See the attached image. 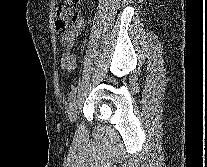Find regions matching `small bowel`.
<instances>
[{
	"instance_id": "c3829d8e",
	"label": "small bowel",
	"mask_w": 207,
	"mask_h": 167,
	"mask_svg": "<svg viewBox=\"0 0 207 167\" xmlns=\"http://www.w3.org/2000/svg\"><path fill=\"white\" fill-rule=\"evenodd\" d=\"M82 27H83V22L80 21L79 29H81ZM62 42H63V45L66 47V50L63 54L61 65L67 71H73L77 64L76 55L71 49L73 43L69 44L65 42L64 40H62Z\"/></svg>"
}]
</instances>
